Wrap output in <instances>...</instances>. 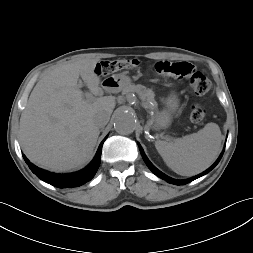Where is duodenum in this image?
Instances as JSON below:
<instances>
[{"label":"duodenum","instance_id":"obj_1","mask_svg":"<svg viewBox=\"0 0 253 253\" xmlns=\"http://www.w3.org/2000/svg\"><path fill=\"white\" fill-rule=\"evenodd\" d=\"M103 86H104V87H108L109 84H108V83H104Z\"/></svg>","mask_w":253,"mask_h":253}]
</instances>
